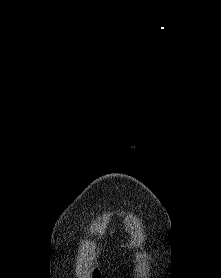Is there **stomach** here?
<instances>
[{
	"label": "stomach",
	"mask_w": 221,
	"mask_h": 278,
	"mask_svg": "<svg viewBox=\"0 0 221 278\" xmlns=\"http://www.w3.org/2000/svg\"><path fill=\"white\" fill-rule=\"evenodd\" d=\"M127 274H130V271H127Z\"/></svg>",
	"instance_id": "obj_1"
}]
</instances>
